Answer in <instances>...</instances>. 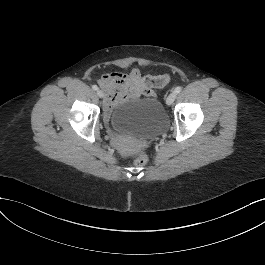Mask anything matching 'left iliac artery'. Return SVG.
Here are the masks:
<instances>
[{"mask_svg":"<svg viewBox=\"0 0 265 265\" xmlns=\"http://www.w3.org/2000/svg\"><path fill=\"white\" fill-rule=\"evenodd\" d=\"M181 90H182V87H181V86H177V87L175 88L174 92H175L176 94H178V93L181 92Z\"/></svg>","mask_w":265,"mask_h":265,"instance_id":"44dca946","label":"left iliac artery"}]
</instances>
